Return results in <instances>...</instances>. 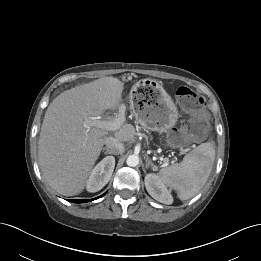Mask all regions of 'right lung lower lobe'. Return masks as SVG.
<instances>
[{
    "mask_svg": "<svg viewBox=\"0 0 261 261\" xmlns=\"http://www.w3.org/2000/svg\"><path fill=\"white\" fill-rule=\"evenodd\" d=\"M104 195V194H103ZM102 195V196H103ZM99 198V197H98ZM97 199V198H95ZM94 199H90V200H80V199H77V200H71V202H74V203H83V202H89V201H92Z\"/></svg>",
    "mask_w": 261,
    "mask_h": 261,
    "instance_id": "1",
    "label": "right lung lower lobe"
}]
</instances>
